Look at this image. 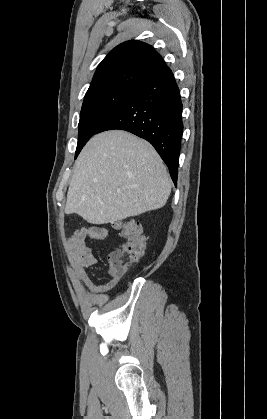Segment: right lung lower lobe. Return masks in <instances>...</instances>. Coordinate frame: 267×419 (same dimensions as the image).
Wrapping results in <instances>:
<instances>
[{"label": "right lung lower lobe", "mask_w": 267, "mask_h": 419, "mask_svg": "<svg viewBox=\"0 0 267 419\" xmlns=\"http://www.w3.org/2000/svg\"><path fill=\"white\" fill-rule=\"evenodd\" d=\"M120 129L149 141L177 184L183 133L182 101L169 67L142 83L98 128L95 134Z\"/></svg>", "instance_id": "1"}]
</instances>
